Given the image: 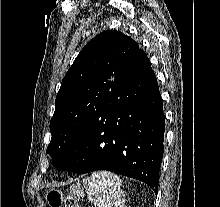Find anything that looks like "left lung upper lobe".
Returning a JSON list of instances; mask_svg holds the SVG:
<instances>
[{
    "instance_id": "5c2ea615",
    "label": "left lung upper lobe",
    "mask_w": 220,
    "mask_h": 207,
    "mask_svg": "<svg viewBox=\"0 0 220 207\" xmlns=\"http://www.w3.org/2000/svg\"><path fill=\"white\" fill-rule=\"evenodd\" d=\"M138 50L131 37L108 30L80 51L62 80L50 121L52 138L46 152L55 165L85 132Z\"/></svg>"
}]
</instances>
